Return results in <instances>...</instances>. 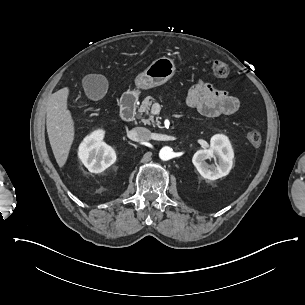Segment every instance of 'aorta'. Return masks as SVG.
<instances>
[{
	"label": "aorta",
	"instance_id": "762f6f07",
	"mask_svg": "<svg viewBox=\"0 0 305 305\" xmlns=\"http://www.w3.org/2000/svg\"><path fill=\"white\" fill-rule=\"evenodd\" d=\"M172 155H173V150L168 146L161 148L159 152V157L163 161L170 160L172 158Z\"/></svg>",
	"mask_w": 305,
	"mask_h": 305
}]
</instances>
